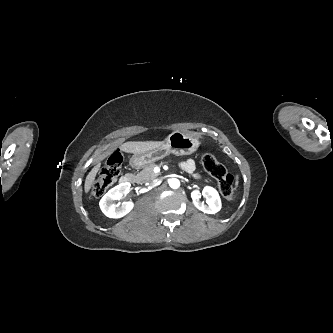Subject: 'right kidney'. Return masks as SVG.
<instances>
[{"label": "right kidney", "mask_w": 333, "mask_h": 333, "mask_svg": "<svg viewBox=\"0 0 333 333\" xmlns=\"http://www.w3.org/2000/svg\"><path fill=\"white\" fill-rule=\"evenodd\" d=\"M131 184L129 182H123L112 189H110L100 200V209L102 212L110 218H121L128 214L134 207L132 201L123 202L121 206L116 205L113 201L119 200L123 196L127 195L130 191Z\"/></svg>", "instance_id": "obj_1"}]
</instances>
